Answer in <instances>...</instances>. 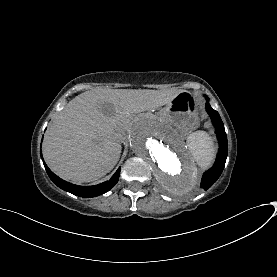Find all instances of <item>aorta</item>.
Segmentation results:
<instances>
[{
    "instance_id": "obj_1",
    "label": "aorta",
    "mask_w": 277,
    "mask_h": 277,
    "mask_svg": "<svg viewBox=\"0 0 277 277\" xmlns=\"http://www.w3.org/2000/svg\"><path fill=\"white\" fill-rule=\"evenodd\" d=\"M132 150L152 169L160 186L186 194L197 184V169L178 134L159 118H139L130 128Z\"/></svg>"
}]
</instances>
